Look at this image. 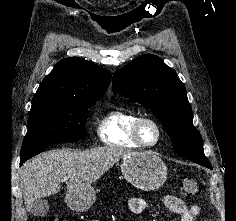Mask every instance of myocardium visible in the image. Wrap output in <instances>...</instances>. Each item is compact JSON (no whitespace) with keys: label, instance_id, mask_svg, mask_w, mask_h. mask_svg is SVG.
<instances>
[{"label":"myocardium","instance_id":"obj_1","mask_svg":"<svg viewBox=\"0 0 236 221\" xmlns=\"http://www.w3.org/2000/svg\"><path fill=\"white\" fill-rule=\"evenodd\" d=\"M144 123H150L152 124L156 131H157V137L155 139L154 142L152 143H146L144 142V140L141 137V129ZM131 136L132 139L142 148H152L154 146H156L162 136H163V129L160 125V123L153 117L150 116H140L139 118H137V120L134 122L133 126H132V131H131Z\"/></svg>","mask_w":236,"mask_h":221}]
</instances>
